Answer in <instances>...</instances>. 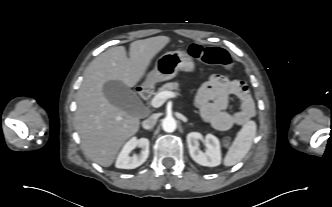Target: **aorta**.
<instances>
[{
	"mask_svg": "<svg viewBox=\"0 0 332 207\" xmlns=\"http://www.w3.org/2000/svg\"><path fill=\"white\" fill-rule=\"evenodd\" d=\"M176 127H177V122L173 117L167 116L163 119L162 128L165 132L171 133L175 131Z\"/></svg>",
	"mask_w": 332,
	"mask_h": 207,
	"instance_id": "obj_1",
	"label": "aorta"
}]
</instances>
